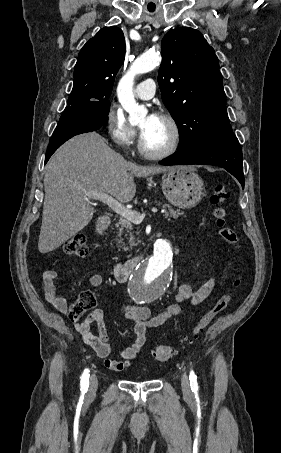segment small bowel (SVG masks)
<instances>
[{
	"label": "small bowel",
	"mask_w": 281,
	"mask_h": 453,
	"mask_svg": "<svg viewBox=\"0 0 281 453\" xmlns=\"http://www.w3.org/2000/svg\"><path fill=\"white\" fill-rule=\"evenodd\" d=\"M56 277L57 272L54 269L45 270L41 276L40 287L45 300L52 303L58 311L65 314L68 312L70 304L67 299L58 294L54 284ZM88 279L89 283L94 287L101 286L102 284V276L99 273H91ZM213 286V279H209L201 289L195 292L190 286L182 285L175 297L174 304L153 317H150L145 307L131 302H124L122 309L126 318L133 324L135 338L133 343L123 350L120 359L110 357L111 345L106 330V319L103 310L94 309L90 317L82 323L76 322L75 327L81 333L83 342L96 351L98 358L106 361V366L110 371L123 370L136 359L137 353L146 343L148 329L160 327L170 318L176 316L179 312L180 305L183 303H190L192 305L201 303L209 295ZM93 321H95L98 329L97 335L88 331V327Z\"/></svg>",
	"instance_id": "c3829d8e"
}]
</instances>
